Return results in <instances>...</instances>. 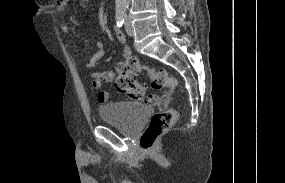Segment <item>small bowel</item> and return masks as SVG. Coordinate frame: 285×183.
Listing matches in <instances>:
<instances>
[{"mask_svg": "<svg viewBox=\"0 0 285 183\" xmlns=\"http://www.w3.org/2000/svg\"><path fill=\"white\" fill-rule=\"evenodd\" d=\"M69 0H65V2H62L60 6H58V11L62 12L65 9V3ZM61 30L65 34L70 33V27L66 23L61 24ZM115 31L118 34L119 41L123 44V56L124 58H128L131 55L130 48L126 45L125 37L118 31L117 28H115ZM106 50L105 45L103 42H97L96 43V51L91 56L88 62L85 63V68L92 69L96 63L101 60L105 56ZM114 72L111 70L102 71V72H91L90 77L92 79V85L93 88L98 90L97 93V99L100 103H106L108 101V92L104 89H102V86L104 83H109L114 78Z\"/></svg>", "mask_w": 285, "mask_h": 183, "instance_id": "small-bowel-1", "label": "small bowel"}]
</instances>
